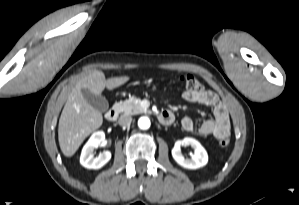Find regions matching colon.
Listing matches in <instances>:
<instances>
[{"label": "colon", "instance_id": "5ec220e1", "mask_svg": "<svg viewBox=\"0 0 299 205\" xmlns=\"http://www.w3.org/2000/svg\"><path fill=\"white\" fill-rule=\"evenodd\" d=\"M174 79L181 83L186 90L189 91H201L203 86L201 82L192 74H181L174 77ZM229 144V138L223 137L219 139V145L225 147Z\"/></svg>", "mask_w": 299, "mask_h": 205}]
</instances>
